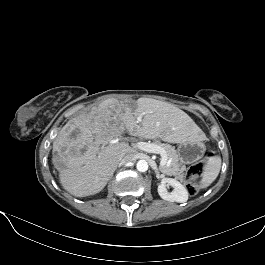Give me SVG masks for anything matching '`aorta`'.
Instances as JSON below:
<instances>
[{"label": "aorta", "mask_w": 265, "mask_h": 265, "mask_svg": "<svg viewBox=\"0 0 265 265\" xmlns=\"http://www.w3.org/2000/svg\"><path fill=\"white\" fill-rule=\"evenodd\" d=\"M136 168L139 172H146L148 170V163L146 160L141 159L137 162Z\"/></svg>", "instance_id": "1"}]
</instances>
